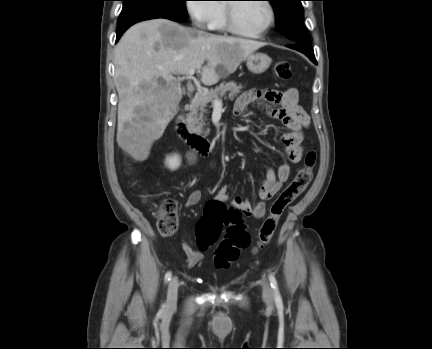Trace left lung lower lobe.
Wrapping results in <instances>:
<instances>
[{"mask_svg":"<svg viewBox=\"0 0 432 349\" xmlns=\"http://www.w3.org/2000/svg\"><path fill=\"white\" fill-rule=\"evenodd\" d=\"M288 47L304 53L313 63L317 64L311 43H294Z\"/></svg>","mask_w":432,"mask_h":349,"instance_id":"0a47b994","label":"left lung lower lobe"}]
</instances>
